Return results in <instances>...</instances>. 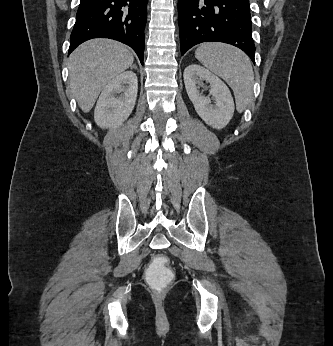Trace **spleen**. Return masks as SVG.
<instances>
[{
  "label": "spleen",
  "instance_id": "1",
  "mask_svg": "<svg viewBox=\"0 0 333 346\" xmlns=\"http://www.w3.org/2000/svg\"><path fill=\"white\" fill-rule=\"evenodd\" d=\"M195 57L232 88L238 112H243L253 96L254 73L247 55L231 45L204 43Z\"/></svg>",
  "mask_w": 333,
  "mask_h": 346
}]
</instances>
